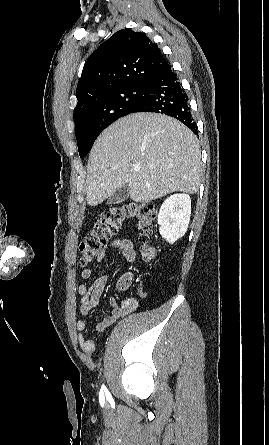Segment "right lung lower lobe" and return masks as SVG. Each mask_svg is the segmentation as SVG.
Masks as SVG:
<instances>
[{
  "instance_id": "1",
  "label": "right lung lower lobe",
  "mask_w": 269,
  "mask_h": 445,
  "mask_svg": "<svg viewBox=\"0 0 269 445\" xmlns=\"http://www.w3.org/2000/svg\"><path fill=\"white\" fill-rule=\"evenodd\" d=\"M147 93L131 113L156 112L174 117L197 133L188 97L184 92L177 75L166 65L147 84Z\"/></svg>"
}]
</instances>
